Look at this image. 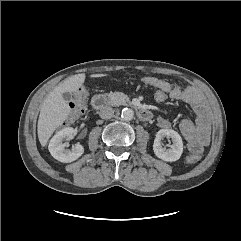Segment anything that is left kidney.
Returning a JSON list of instances; mask_svg holds the SVG:
<instances>
[{"instance_id":"1","label":"left kidney","mask_w":241,"mask_h":241,"mask_svg":"<svg viewBox=\"0 0 241 241\" xmlns=\"http://www.w3.org/2000/svg\"><path fill=\"white\" fill-rule=\"evenodd\" d=\"M164 137H170L172 139L173 144L170 146L169 149H166L162 146V141ZM153 150L158 158L166 162L177 161L181 157L183 152L182 138L178 132L172 129H161L156 134L153 144Z\"/></svg>"}]
</instances>
